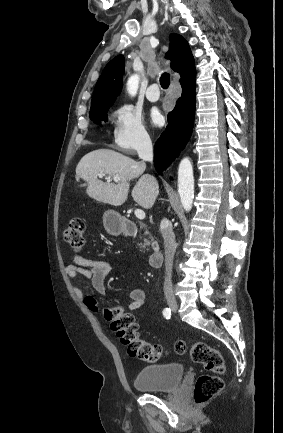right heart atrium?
Instances as JSON below:
<instances>
[{
    "label": "right heart atrium",
    "mask_w": 283,
    "mask_h": 433,
    "mask_svg": "<svg viewBox=\"0 0 283 433\" xmlns=\"http://www.w3.org/2000/svg\"><path fill=\"white\" fill-rule=\"evenodd\" d=\"M111 146L125 155L151 148L152 138L139 109L121 104L114 110Z\"/></svg>",
    "instance_id": "right-heart-atrium-1"
}]
</instances>
